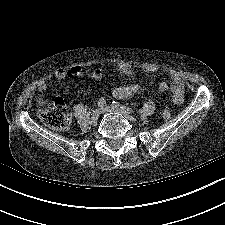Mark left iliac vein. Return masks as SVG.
I'll return each mask as SVG.
<instances>
[{
  "mask_svg": "<svg viewBox=\"0 0 225 225\" xmlns=\"http://www.w3.org/2000/svg\"><path fill=\"white\" fill-rule=\"evenodd\" d=\"M101 112L102 113L117 112V113H120V114L124 115L128 119H132L133 118L131 112L127 111L126 109L115 108V107L107 106V105L103 106L101 108Z\"/></svg>",
  "mask_w": 225,
  "mask_h": 225,
  "instance_id": "4c4485c4",
  "label": "left iliac vein"
}]
</instances>
